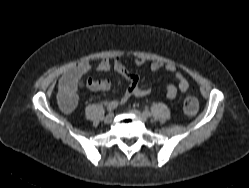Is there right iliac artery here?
Instances as JSON below:
<instances>
[{"mask_svg": "<svg viewBox=\"0 0 249 188\" xmlns=\"http://www.w3.org/2000/svg\"><path fill=\"white\" fill-rule=\"evenodd\" d=\"M118 107V102L117 101H112L107 105V110L109 112L113 111L114 109H116Z\"/></svg>", "mask_w": 249, "mask_h": 188, "instance_id": "obj_1", "label": "right iliac artery"}]
</instances>
